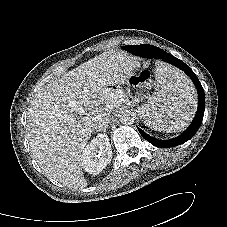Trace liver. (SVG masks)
<instances>
[{
  "label": "liver",
  "instance_id": "liver-1",
  "mask_svg": "<svg viewBox=\"0 0 227 227\" xmlns=\"http://www.w3.org/2000/svg\"><path fill=\"white\" fill-rule=\"evenodd\" d=\"M136 64L122 51L104 52L34 95L27 111V138L34 159L49 178L74 190L87 187L81 155L96 130V120L110 116L121 103L122 94L111 93L109 87L123 84Z\"/></svg>",
  "mask_w": 227,
  "mask_h": 227
}]
</instances>
